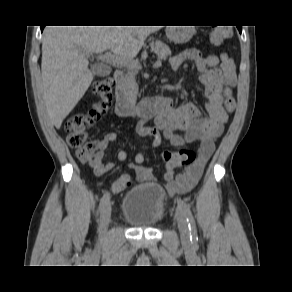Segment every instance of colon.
Segmentation results:
<instances>
[{"instance_id": "5ec220e1", "label": "colon", "mask_w": 292, "mask_h": 292, "mask_svg": "<svg viewBox=\"0 0 292 292\" xmlns=\"http://www.w3.org/2000/svg\"><path fill=\"white\" fill-rule=\"evenodd\" d=\"M232 35L229 25H221L213 29L210 41L214 45L222 44ZM92 95L97 98L91 108L68 118L64 129L67 133L68 144L77 150V157L81 162L90 161L95 153L94 142L87 140L88 129L93 126L110 109L113 102V84L109 78H102L92 86ZM224 105L228 112L235 109V99L230 89L224 93ZM163 159L167 163H176L180 166H188L194 163L196 154L190 149H182L177 152L164 151ZM125 186L130 184V177L123 178Z\"/></svg>"}]
</instances>
